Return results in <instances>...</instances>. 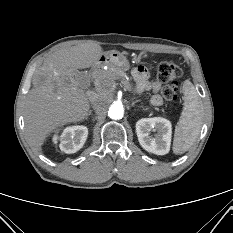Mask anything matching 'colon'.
Returning <instances> with one entry per match:
<instances>
[{"label": "colon", "mask_w": 233, "mask_h": 233, "mask_svg": "<svg viewBox=\"0 0 233 233\" xmlns=\"http://www.w3.org/2000/svg\"><path fill=\"white\" fill-rule=\"evenodd\" d=\"M181 68L172 61H162L157 67V77L165 85L162 88V95L169 101L177 98L178 84L177 79L181 77Z\"/></svg>", "instance_id": "1"}]
</instances>
